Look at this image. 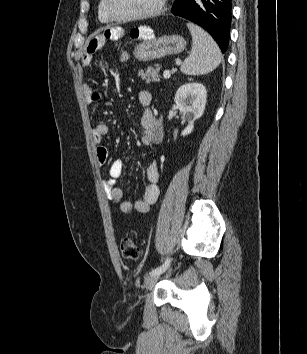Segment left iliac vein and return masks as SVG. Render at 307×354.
Wrapping results in <instances>:
<instances>
[{
	"label": "left iliac vein",
	"instance_id": "4c4485c4",
	"mask_svg": "<svg viewBox=\"0 0 307 354\" xmlns=\"http://www.w3.org/2000/svg\"><path fill=\"white\" fill-rule=\"evenodd\" d=\"M160 275L161 274H153V275H150L149 277H147L145 282H144V286L147 289L152 288L155 285V283L158 281Z\"/></svg>",
	"mask_w": 307,
	"mask_h": 354
}]
</instances>
